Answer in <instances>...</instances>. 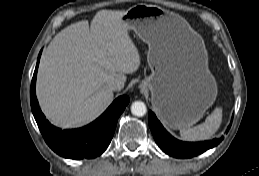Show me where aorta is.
Returning <instances> with one entry per match:
<instances>
[{
  "label": "aorta",
  "instance_id": "aorta-1",
  "mask_svg": "<svg viewBox=\"0 0 259 176\" xmlns=\"http://www.w3.org/2000/svg\"><path fill=\"white\" fill-rule=\"evenodd\" d=\"M147 108L144 102L135 101L131 105V113L135 116L142 117L146 114Z\"/></svg>",
  "mask_w": 259,
  "mask_h": 176
}]
</instances>
